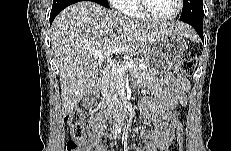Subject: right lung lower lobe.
Wrapping results in <instances>:
<instances>
[{
    "mask_svg": "<svg viewBox=\"0 0 231 151\" xmlns=\"http://www.w3.org/2000/svg\"><path fill=\"white\" fill-rule=\"evenodd\" d=\"M78 2V0H53L52 10L50 13V25L53 22L54 18L61 12L64 8L67 6ZM93 2H96L102 6L109 7L108 4H105L101 0H93Z\"/></svg>",
    "mask_w": 231,
    "mask_h": 151,
    "instance_id": "1",
    "label": "right lung lower lobe"
}]
</instances>
